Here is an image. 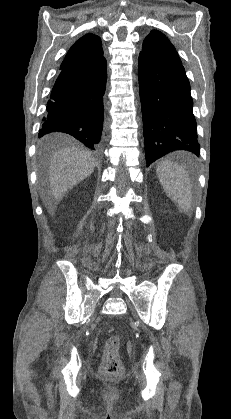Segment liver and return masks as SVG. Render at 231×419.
Returning a JSON list of instances; mask_svg holds the SVG:
<instances>
[{"instance_id": "obj_1", "label": "liver", "mask_w": 231, "mask_h": 419, "mask_svg": "<svg viewBox=\"0 0 231 419\" xmlns=\"http://www.w3.org/2000/svg\"><path fill=\"white\" fill-rule=\"evenodd\" d=\"M95 166V158L88 151L77 147L59 150L51 159L49 167L51 198L54 201L61 200L68 190L91 175ZM48 205L51 207V203Z\"/></svg>"}]
</instances>
